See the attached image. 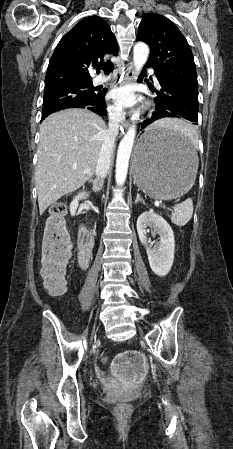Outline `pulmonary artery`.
<instances>
[{
    "instance_id": "pulmonary-artery-1",
    "label": "pulmonary artery",
    "mask_w": 233,
    "mask_h": 449,
    "mask_svg": "<svg viewBox=\"0 0 233 449\" xmlns=\"http://www.w3.org/2000/svg\"><path fill=\"white\" fill-rule=\"evenodd\" d=\"M150 72L153 73L152 71H150ZM109 78H110L109 76H97V77L93 80V84H94V85H101V84L105 83L106 81H108ZM153 79H154V81H155L156 86H157V87H160L157 78H156L155 76H153Z\"/></svg>"
}]
</instances>
